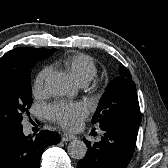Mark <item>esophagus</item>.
Returning <instances> with one entry per match:
<instances>
[{"label":"esophagus","instance_id":"1","mask_svg":"<svg viewBox=\"0 0 168 168\" xmlns=\"http://www.w3.org/2000/svg\"><path fill=\"white\" fill-rule=\"evenodd\" d=\"M61 139H62V141L66 142V141L74 140V139H76V137L74 135L64 133L61 135Z\"/></svg>","mask_w":168,"mask_h":168}]
</instances>
